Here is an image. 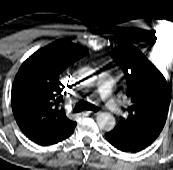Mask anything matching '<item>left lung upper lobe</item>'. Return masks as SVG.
I'll list each match as a JSON object with an SVG mask.
<instances>
[{"instance_id": "5c2ea615", "label": "left lung upper lobe", "mask_w": 173, "mask_h": 170, "mask_svg": "<svg viewBox=\"0 0 173 170\" xmlns=\"http://www.w3.org/2000/svg\"><path fill=\"white\" fill-rule=\"evenodd\" d=\"M112 58L123 69L128 85V116L111 131L130 144L146 148L159 136L171 101L170 89L161 72L131 44L118 46Z\"/></svg>"}]
</instances>
